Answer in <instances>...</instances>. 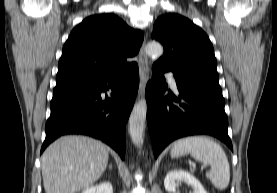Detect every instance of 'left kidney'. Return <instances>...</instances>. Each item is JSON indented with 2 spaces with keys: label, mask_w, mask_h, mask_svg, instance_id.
Wrapping results in <instances>:
<instances>
[{
  "label": "left kidney",
  "mask_w": 277,
  "mask_h": 193,
  "mask_svg": "<svg viewBox=\"0 0 277 193\" xmlns=\"http://www.w3.org/2000/svg\"><path fill=\"white\" fill-rule=\"evenodd\" d=\"M181 182L190 185L193 188V193H208L192 174L184 170L169 171L164 179V187L169 193H176V189Z\"/></svg>",
  "instance_id": "left-kidney-1"
}]
</instances>
